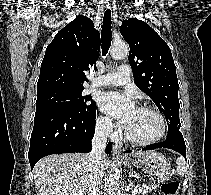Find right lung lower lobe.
Here are the masks:
<instances>
[{"instance_id":"1","label":"right lung lower lobe","mask_w":211,"mask_h":195,"mask_svg":"<svg viewBox=\"0 0 211 195\" xmlns=\"http://www.w3.org/2000/svg\"><path fill=\"white\" fill-rule=\"evenodd\" d=\"M95 118L96 106L85 113L55 109L37 111L29 149L31 168L47 155L90 152ZM111 146L109 142L105 149L106 154L111 152Z\"/></svg>"}]
</instances>
